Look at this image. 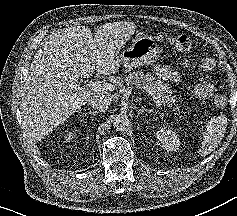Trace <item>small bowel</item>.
Here are the masks:
<instances>
[{"mask_svg":"<svg viewBox=\"0 0 237 216\" xmlns=\"http://www.w3.org/2000/svg\"><path fill=\"white\" fill-rule=\"evenodd\" d=\"M215 68V64L213 60L207 58L204 59L201 64V71L208 75L210 74ZM156 74L163 80H169V81H179L180 75L173 71L170 67L166 65L159 64L155 67ZM214 92V86L208 82V81H202L198 83L194 88V95L197 98L205 99L210 96H212Z\"/></svg>","mask_w":237,"mask_h":216,"instance_id":"obj_1","label":"small bowel"}]
</instances>
